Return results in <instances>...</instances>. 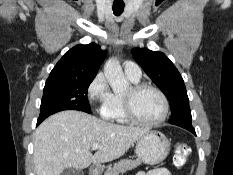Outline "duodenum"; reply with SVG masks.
I'll list each match as a JSON object with an SVG mask.
<instances>
[{"mask_svg":"<svg viewBox=\"0 0 233 175\" xmlns=\"http://www.w3.org/2000/svg\"><path fill=\"white\" fill-rule=\"evenodd\" d=\"M91 173L92 175H98L99 171L97 168H92Z\"/></svg>","mask_w":233,"mask_h":175,"instance_id":"duodenum-1","label":"duodenum"}]
</instances>
